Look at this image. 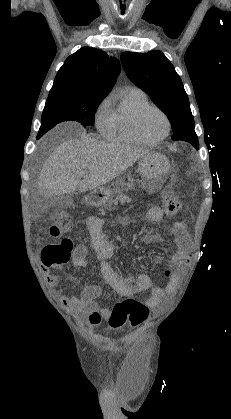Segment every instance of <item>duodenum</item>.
I'll list each match as a JSON object with an SVG mask.
<instances>
[{
	"label": "duodenum",
	"mask_w": 231,
	"mask_h": 419,
	"mask_svg": "<svg viewBox=\"0 0 231 419\" xmlns=\"http://www.w3.org/2000/svg\"><path fill=\"white\" fill-rule=\"evenodd\" d=\"M87 200L90 204H95L98 201V196L95 194H91L88 196Z\"/></svg>",
	"instance_id": "duodenum-1"
}]
</instances>
